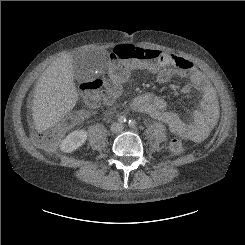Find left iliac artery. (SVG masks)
<instances>
[{
    "label": "left iliac artery",
    "mask_w": 245,
    "mask_h": 245,
    "mask_svg": "<svg viewBox=\"0 0 245 245\" xmlns=\"http://www.w3.org/2000/svg\"><path fill=\"white\" fill-rule=\"evenodd\" d=\"M128 124H129L130 127H135L136 121H135L134 119H130V120L128 121Z\"/></svg>",
    "instance_id": "left-iliac-artery-1"
}]
</instances>
